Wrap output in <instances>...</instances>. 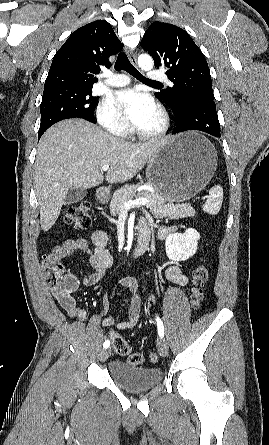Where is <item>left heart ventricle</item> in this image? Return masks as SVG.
<instances>
[{"instance_id":"b2bd125f","label":"left heart ventricle","mask_w":269,"mask_h":445,"mask_svg":"<svg viewBox=\"0 0 269 445\" xmlns=\"http://www.w3.org/2000/svg\"><path fill=\"white\" fill-rule=\"evenodd\" d=\"M161 124L160 116L158 112L154 113L147 121L141 124L138 129L144 132H153L159 128Z\"/></svg>"}]
</instances>
